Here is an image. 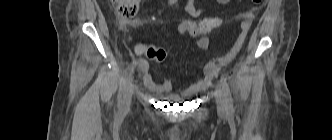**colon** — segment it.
Wrapping results in <instances>:
<instances>
[{"mask_svg": "<svg viewBox=\"0 0 332 140\" xmlns=\"http://www.w3.org/2000/svg\"><path fill=\"white\" fill-rule=\"evenodd\" d=\"M266 0H252L254 4H261ZM118 15L124 19L133 18L139 8V0H111ZM221 25L220 19L216 17H206L201 21L183 20L178 22L176 30L180 34H189L194 37L208 35L211 31ZM140 53L145 54L148 58L157 62L165 58V51L162 48L154 46H141L138 48Z\"/></svg>", "mask_w": 332, "mask_h": 140, "instance_id": "1", "label": "colon"}]
</instances>
